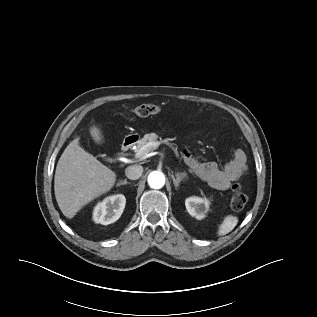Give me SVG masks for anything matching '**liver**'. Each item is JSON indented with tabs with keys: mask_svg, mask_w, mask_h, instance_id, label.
Instances as JSON below:
<instances>
[{
	"mask_svg": "<svg viewBox=\"0 0 317 317\" xmlns=\"http://www.w3.org/2000/svg\"><path fill=\"white\" fill-rule=\"evenodd\" d=\"M90 133L96 142L102 140L97 127ZM116 182V174L86 152L74 139L61 155L55 171L54 191L63 215L69 219L87 203L108 192Z\"/></svg>",
	"mask_w": 317,
	"mask_h": 317,
	"instance_id": "6515ba94",
	"label": "liver"
}]
</instances>
